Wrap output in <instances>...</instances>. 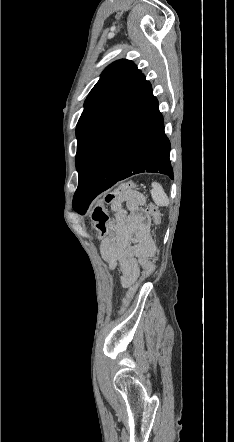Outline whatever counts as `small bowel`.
Segmentation results:
<instances>
[{"label":"small bowel","instance_id":"c3829d8e","mask_svg":"<svg viewBox=\"0 0 234 442\" xmlns=\"http://www.w3.org/2000/svg\"><path fill=\"white\" fill-rule=\"evenodd\" d=\"M143 197L131 192L112 205L113 216L100 253L109 269L121 271V284L131 286L144 270L152 248L146 241L148 216L142 208Z\"/></svg>","mask_w":234,"mask_h":442}]
</instances>
